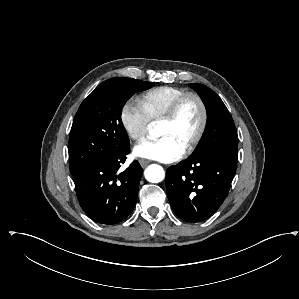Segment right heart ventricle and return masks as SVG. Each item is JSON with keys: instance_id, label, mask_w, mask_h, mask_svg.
I'll list each match as a JSON object with an SVG mask.
<instances>
[{"instance_id": "obj_1", "label": "right heart ventricle", "mask_w": 299, "mask_h": 299, "mask_svg": "<svg viewBox=\"0 0 299 299\" xmlns=\"http://www.w3.org/2000/svg\"><path fill=\"white\" fill-rule=\"evenodd\" d=\"M187 91L175 86H160L144 93L139 104L147 114L150 122L160 121L168 112L172 103Z\"/></svg>"}]
</instances>
